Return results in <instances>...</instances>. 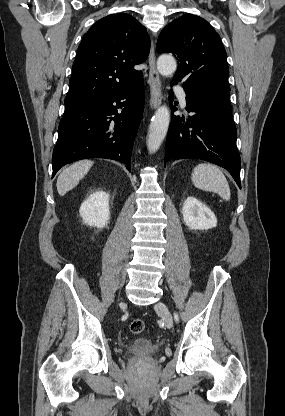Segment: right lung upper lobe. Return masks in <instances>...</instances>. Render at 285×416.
I'll use <instances>...</instances> for the list:
<instances>
[{
    "instance_id": "obj_1",
    "label": "right lung upper lobe",
    "mask_w": 285,
    "mask_h": 416,
    "mask_svg": "<svg viewBox=\"0 0 285 416\" xmlns=\"http://www.w3.org/2000/svg\"><path fill=\"white\" fill-rule=\"evenodd\" d=\"M150 38L144 26L125 13L97 21L84 35L73 64L66 109L107 100L142 79L134 65L146 60Z\"/></svg>"
}]
</instances>
